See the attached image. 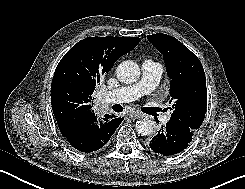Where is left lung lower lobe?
I'll use <instances>...</instances> for the list:
<instances>
[{"label": "left lung lower lobe", "mask_w": 245, "mask_h": 189, "mask_svg": "<svg viewBox=\"0 0 245 189\" xmlns=\"http://www.w3.org/2000/svg\"><path fill=\"white\" fill-rule=\"evenodd\" d=\"M193 133L180 132L178 128L171 126L169 123L163 127L149 142V147L154 152L170 156L178 154L186 149L192 141Z\"/></svg>", "instance_id": "1"}]
</instances>
